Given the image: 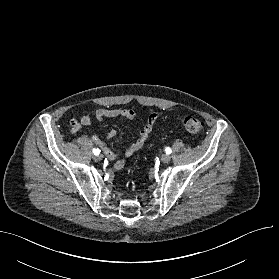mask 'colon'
I'll list each match as a JSON object with an SVG mask.
<instances>
[{
  "label": "colon",
  "instance_id": "5ec220e1",
  "mask_svg": "<svg viewBox=\"0 0 279 279\" xmlns=\"http://www.w3.org/2000/svg\"><path fill=\"white\" fill-rule=\"evenodd\" d=\"M75 125L76 122L73 121L72 127ZM182 126L187 132L191 134H200L204 129V123L201 120L191 116L185 117L182 120Z\"/></svg>",
  "mask_w": 279,
  "mask_h": 279
}]
</instances>
